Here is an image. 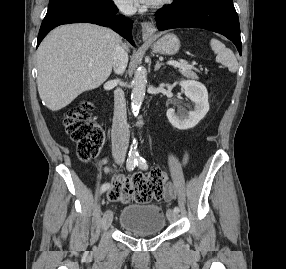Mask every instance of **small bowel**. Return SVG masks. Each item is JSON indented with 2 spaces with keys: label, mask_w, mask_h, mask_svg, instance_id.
Instances as JSON below:
<instances>
[{
  "label": "small bowel",
  "mask_w": 286,
  "mask_h": 269,
  "mask_svg": "<svg viewBox=\"0 0 286 269\" xmlns=\"http://www.w3.org/2000/svg\"><path fill=\"white\" fill-rule=\"evenodd\" d=\"M188 161H189V153L186 150H184L181 167L184 168L187 165ZM104 171H105V173L109 174L111 172V169L109 166H106L104 168ZM119 176H123V175H119ZM164 181H166V175H165ZM175 197H176L175 187L173 184L168 183L165 187V192H164L163 198L166 201L170 202V201H173L175 199Z\"/></svg>",
  "instance_id": "obj_1"
}]
</instances>
